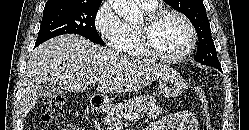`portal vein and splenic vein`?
Returning a JSON list of instances; mask_svg holds the SVG:
<instances>
[{"instance_id": "18ae733b", "label": "portal vein and splenic vein", "mask_w": 249, "mask_h": 130, "mask_svg": "<svg viewBox=\"0 0 249 130\" xmlns=\"http://www.w3.org/2000/svg\"><path fill=\"white\" fill-rule=\"evenodd\" d=\"M90 82H92L93 84H96V83H98V80L90 79ZM139 117H140V115L138 113H133V114H127L125 116V119L129 120V121H133V120L138 119Z\"/></svg>"}]
</instances>
